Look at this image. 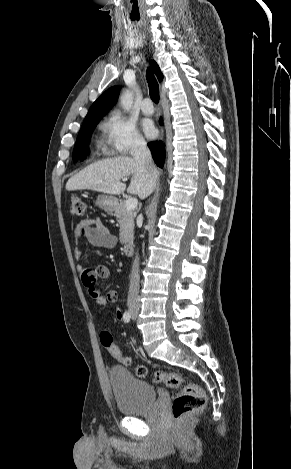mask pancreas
<instances>
[{
	"label": "pancreas",
	"mask_w": 291,
	"mask_h": 469,
	"mask_svg": "<svg viewBox=\"0 0 291 469\" xmlns=\"http://www.w3.org/2000/svg\"><path fill=\"white\" fill-rule=\"evenodd\" d=\"M114 215L120 226V242L123 244L132 243L134 236V211L127 210L126 203L121 202L115 208Z\"/></svg>",
	"instance_id": "obj_1"
}]
</instances>
